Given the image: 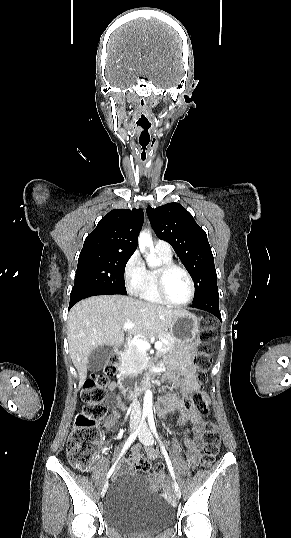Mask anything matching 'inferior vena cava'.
Wrapping results in <instances>:
<instances>
[{"label":"inferior vena cava","instance_id":"1","mask_svg":"<svg viewBox=\"0 0 291 538\" xmlns=\"http://www.w3.org/2000/svg\"><path fill=\"white\" fill-rule=\"evenodd\" d=\"M130 421L131 423L138 424L141 418V407L138 401H134L130 407Z\"/></svg>","mask_w":291,"mask_h":538}]
</instances>
